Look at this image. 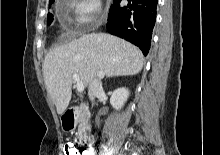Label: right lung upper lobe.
<instances>
[{"instance_id":"1","label":"right lung upper lobe","mask_w":220,"mask_h":155,"mask_svg":"<svg viewBox=\"0 0 220 155\" xmlns=\"http://www.w3.org/2000/svg\"><path fill=\"white\" fill-rule=\"evenodd\" d=\"M52 1H54V0H49V3L52 2Z\"/></svg>"}]
</instances>
